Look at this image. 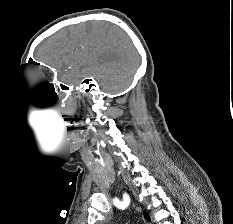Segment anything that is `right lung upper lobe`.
Returning a JSON list of instances; mask_svg holds the SVG:
<instances>
[{"mask_svg":"<svg viewBox=\"0 0 233 224\" xmlns=\"http://www.w3.org/2000/svg\"><path fill=\"white\" fill-rule=\"evenodd\" d=\"M144 217L147 221H150L149 215L146 212H144Z\"/></svg>","mask_w":233,"mask_h":224,"instance_id":"1","label":"right lung upper lobe"}]
</instances>
